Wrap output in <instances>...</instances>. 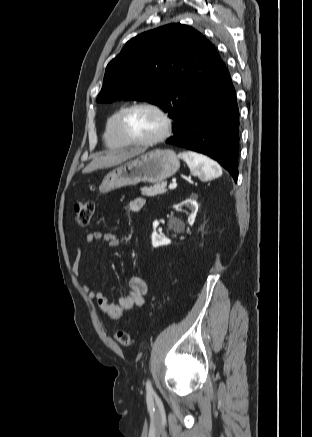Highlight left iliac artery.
Segmentation results:
<instances>
[{"label": "left iliac artery", "instance_id": "obj_1", "mask_svg": "<svg viewBox=\"0 0 312 437\" xmlns=\"http://www.w3.org/2000/svg\"><path fill=\"white\" fill-rule=\"evenodd\" d=\"M146 392H147L148 396H151L154 394V390H153V387H152L150 380H147V382H146Z\"/></svg>", "mask_w": 312, "mask_h": 437}]
</instances>
